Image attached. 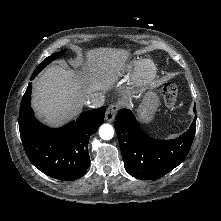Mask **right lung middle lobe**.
Masks as SVG:
<instances>
[{
    "label": "right lung middle lobe",
    "instance_id": "obj_1",
    "mask_svg": "<svg viewBox=\"0 0 221 221\" xmlns=\"http://www.w3.org/2000/svg\"><path fill=\"white\" fill-rule=\"evenodd\" d=\"M64 51H61L59 53H56L55 55H52L50 57H47L34 71V73L32 75L37 76V74L45 67L47 66L49 63H51L54 59H56L57 57L61 56L62 54H64Z\"/></svg>",
    "mask_w": 221,
    "mask_h": 221
}]
</instances>
